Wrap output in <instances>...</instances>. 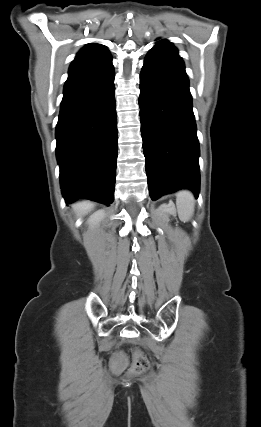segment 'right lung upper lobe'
Returning a JSON list of instances; mask_svg holds the SVG:
<instances>
[{
	"mask_svg": "<svg viewBox=\"0 0 261 427\" xmlns=\"http://www.w3.org/2000/svg\"><path fill=\"white\" fill-rule=\"evenodd\" d=\"M110 66L112 57L106 47L96 43L87 44L71 63L65 85L100 73Z\"/></svg>",
	"mask_w": 261,
	"mask_h": 427,
	"instance_id": "right-lung-upper-lobe-1",
	"label": "right lung upper lobe"
}]
</instances>
